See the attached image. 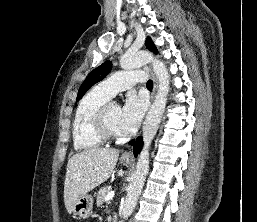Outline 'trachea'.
<instances>
[{"mask_svg": "<svg viewBox=\"0 0 257 222\" xmlns=\"http://www.w3.org/2000/svg\"><path fill=\"white\" fill-rule=\"evenodd\" d=\"M147 88H150V89L153 88V81L152 80L147 81Z\"/></svg>", "mask_w": 257, "mask_h": 222, "instance_id": "obj_1", "label": "trachea"}]
</instances>
